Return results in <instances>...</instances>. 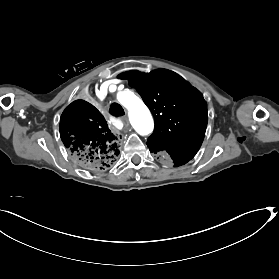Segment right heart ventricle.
I'll return each instance as SVG.
<instances>
[{
    "label": "right heart ventricle",
    "mask_w": 279,
    "mask_h": 279,
    "mask_svg": "<svg viewBox=\"0 0 279 279\" xmlns=\"http://www.w3.org/2000/svg\"><path fill=\"white\" fill-rule=\"evenodd\" d=\"M100 51V49H95V54H92L90 56H86L82 58V63L86 64V65H94L99 63L102 60V56L100 54H98ZM99 68L96 69V71ZM108 85L103 87L102 89H99V91H101L102 93L106 91ZM138 96L137 92L132 90V89H124L122 90L117 98H116V103L118 105H120L122 108H124L125 110L129 109V107L132 104V101L134 100V98Z\"/></svg>",
    "instance_id": "1"
}]
</instances>
